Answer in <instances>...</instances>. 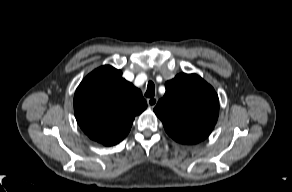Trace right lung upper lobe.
I'll return each mask as SVG.
<instances>
[{
    "label": "right lung upper lobe",
    "mask_w": 292,
    "mask_h": 192,
    "mask_svg": "<svg viewBox=\"0 0 292 192\" xmlns=\"http://www.w3.org/2000/svg\"><path fill=\"white\" fill-rule=\"evenodd\" d=\"M146 107L141 91L110 65L87 75L74 95L75 117L81 129L105 146L123 140L135 116Z\"/></svg>",
    "instance_id": "right-lung-upper-lobe-1"
}]
</instances>
